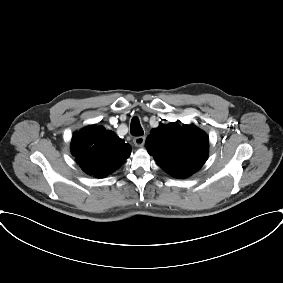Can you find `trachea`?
Here are the masks:
<instances>
[{
    "instance_id": "obj_1",
    "label": "trachea",
    "mask_w": 283,
    "mask_h": 283,
    "mask_svg": "<svg viewBox=\"0 0 283 283\" xmlns=\"http://www.w3.org/2000/svg\"><path fill=\"white\" fill-rule=\"evenodd\" d=\"M131 134L134 136H142L144 134L139 119L136 116L131 120Z\"/></svg>"
}]
</instances>
